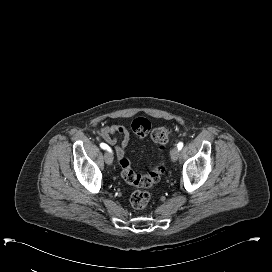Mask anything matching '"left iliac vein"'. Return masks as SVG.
<instances>
[{
  "mask_svg": "<svg viewBox=\"0 0 272 272\" xmlns=\"http://www.w3.org/2000/svg\"><path fill=\"white\" fill-rule=\"evenodd\" d=\"M180 155V151L178 148H173L171 151V159L172 161H177Z\"/></svg>",
  "mask_w": 272,
  "mask_h": 272,
  "instance_id": "left-iliac-vein-1",
  "label": "left iliac vein"
}]
</instances>
